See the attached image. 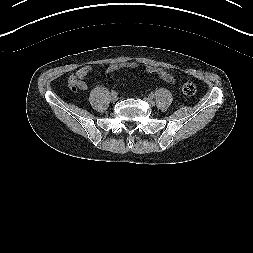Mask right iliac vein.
<instances>
[{
    "label": "right iliac vein",
    "mask_w": 253,
    "mask_h": 253,
    "mask_svg": "<svg viewBox=\"0 0 253 253\" xmlns=\"http://www.w3.org/2000/svg\"><path fill=\"white\" fill-rule=\"evenodd\" d=\"M110 100H111L112 102H116V101L118 100L117 94L111 95Z\"/></svg>",
    "instance_id": "right-iliac-vein-1"
}]
</instances>
